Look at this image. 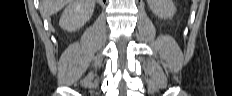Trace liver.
<instances>
[{"label": "liver", "instance_id": "6515ba94", "mask_svg": "<svg viewBox=\"0 0 232 96\" xmlns=\"http://www.w3.org/2000/svg\"><path fill=\"white\" fill-rule=\"evenodd\" d=\"M72 0H41L40 9L45 17H49L60 11L65 5L71 3Z\"/></svg>", "mask_w": 232, "mask_h": 96}]
</instances>
